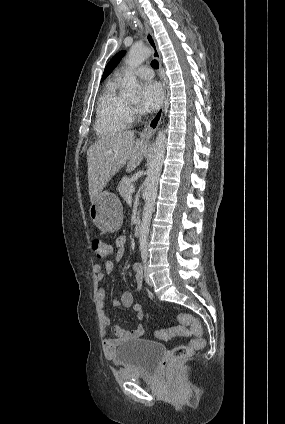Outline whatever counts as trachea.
Listing matches in <instances>:
<instances>
[{"mask_svg":"<svg viewBox=\"0 0 285 424\" xmlns=\"http://www.w3.org/2000/svg\"><path fill=\"white\" fill-rule=\"evenodd\" d=\"M151 66H152L154 69H158V67H159L158 61H157V60H153V61L151 62Z\"/></svg>","mask_w":285,"mask_h":424,"instance_id":"obj_1","label":"trachea"}]
</instances>
